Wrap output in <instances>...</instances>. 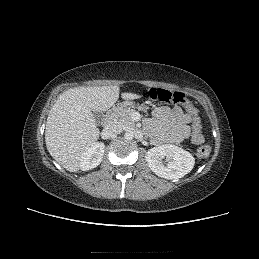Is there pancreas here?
<instances>
[{
	"instance_id": "cf45deb5",
	"label": "pancreas",
	"mask_w": 259,
	"mask_h": 259,
	"mask_svg": "<svg viewBox=\"0 0 259 259\" xmlns=\"http://www.w3.org/2000/svg\"><path fill=\"white\" fill-rule=\"evenodd\" d=\"M133 109L130 108H117L114 110L112 116L114 121L124 127H134L135 122L132 119Z\"/></svg>"
}]
</instances>
